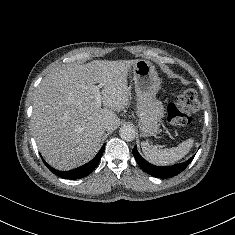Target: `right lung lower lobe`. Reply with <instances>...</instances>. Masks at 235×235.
<instances>
[{
	"mask_svg": "<svg viewBox=\"0 0 235 235\" xmlns=\"http://www.w3.org/2000/svg\"><path fill=\"white\" fill-rule=\"evenodd\" d=\"M104 148H105V144L102 146L100 151L90 162L70 171H58L52 168L51 166H49L44 160L43 162L52 173L56 174L59 177H62L65 179H79V178H83L89 175L95 169V167L98 165L101 159V156L104 152Z\"/></svg>",
	"mask_w": 235,
	"mask_h": 235,
	"instance_id": "right-lung-lower-lobe-1",
	"label": "right lung lower lobe"
}]
</instances>
